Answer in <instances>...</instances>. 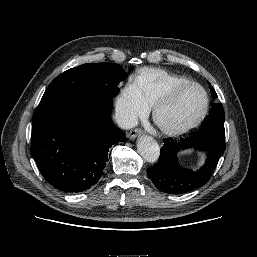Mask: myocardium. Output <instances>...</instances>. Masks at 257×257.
<instances>
[{"label": "myocardium", "mask_w": 257, "mask_h": 257, "mask_svg": "<svg viewBox=\"0 0 257 257\" xmlns=\"http://www.w3.org/2000/svg\"><path fill=\"white\" fill-rule=\"evenodd\" d=\"M190 87H198L203 92L204 105H203L202 110L199 112V114L193 121H191L187 124L176 126V127H169V126L164 125L159 118L160 110L164 106L171 103L174 100V98L181 91H183L184 89L190 88ZM209 106H210V99H209V95H208L206 89L201 84L190 81V82H186V83L174 86L165 95H163L156 101V103L153 106V119H154L155 123L157 124V126L159 127V129L164 134L171 136V137H176V136L187 134V133L191 132L192 130H194L195 128H197L202 123L204 118L206 117V115L209 111Z\"/></svg>", "instance_id": "1"}]
</instances>
